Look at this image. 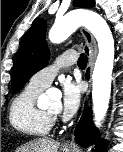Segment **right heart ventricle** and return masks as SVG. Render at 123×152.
Masks as SVG:
<instances>
[{"instance_id":"1","label":"right heart ventricle","mask_w":123,"mask_h":152,"mask_svg":"<svg viewBox=\"0 0 123 152\" xmlns=\"http://www.w3.org/2000/svg\"><path fill=\"white\" fill-rule=\"evenodd\" d=\"M43 89L27 85L15 98L10 109L9 119L19 132L31 137L46 136L52 125L46 111L36 105Z\"/></svg>"}]
</instances>
